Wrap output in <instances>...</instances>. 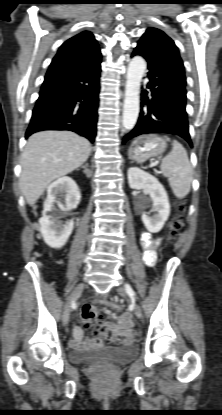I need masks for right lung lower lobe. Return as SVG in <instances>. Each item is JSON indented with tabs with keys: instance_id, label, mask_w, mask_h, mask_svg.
I'll use <instances>...</instances> for the list:
<instances>
[{
	"instance_id": "right-lung-lower-lobe-1",
	"label": "right lung lower lobe",
	"mask_w": 222,
	"mask_h": 415,
	"mask_svg": "<svg viewBox=\"0 0 222 415\" xmlns=\"http://www.w3.org/2000/svg\"><path fill=\"white\" fill-rule=\"evenodd\" d=\"M101 57L86 62L52 61L25 137L41 130H70L90 142L96 136Z\"/></svg>"
}]
</instances>
